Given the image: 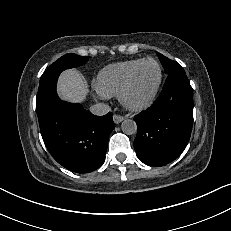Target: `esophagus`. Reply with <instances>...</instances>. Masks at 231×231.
Returning a JSON list of instances; mask_svg holds the SVG:
<instances>
[{
    "instance_id": "esophagus-1",
    "label": "esophagus",
    "mask_w": 231,
    "mask_h": 231,
    "mask_svg": "<svg viewBox=\"0 0 231 231\" xmlns=\"http://www.w3.org/2000/svg\"><path fill=\"white\" fill-rule=\"evenodd\" d=\"M113 120L116 124L121 123L124 120V116L118 115V114H114L113 115Z\"/></svg>"
}]
</instances>
